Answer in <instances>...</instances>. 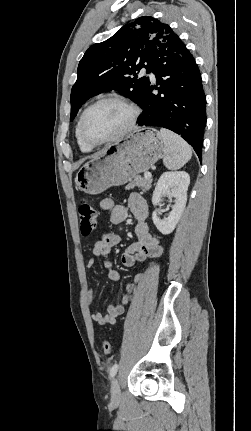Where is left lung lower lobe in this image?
<instances>
[{"instance_id":"obj_1","label":"left lung lower lobe","mask_w":251,"mask_h":431,"mask_svg":"<svg viewBox=\"0 0 251 431\" xmlns=\"http://www.w3.org/2000/svg\"><path fill=\"white\" fill-rule=\"evenodd\" d=\"M158 79L149 85L140 107L139 126H158L181 135L202 160L206 126V96L199 68L174 33L154 52L149 65ZM153 89L158 94H153Z\"/></svg>"}]
</instances>
